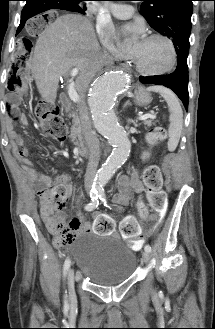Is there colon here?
Listing matches in <instances>:
<instances>
[{
	"label": "colon",
	"instance_id": "obj_1",
	"mask_svg": "<svg viewBox=\"0 0 215 329\" xmlns=\"http://www.w3.org/2000/svg\"><path fill=\"white\" fill-rule=\"evenodd\" d=\"M55 14H34L33 19H29V25H25V32H29V37H19L18 49L14 61H9L11 74L9 79V91L6 103L7 109H22L26 103L27 86L24 82L25 76L21 74L23 68L28 67L27 58L31 53V44H36V38H48V26H52L55 21ZM36 116L43 124V130L57 139H62L65 135L63 121L58 111L47 102H39L35 109ZM165 137L162 129H156L149 133L148 143L151 146L157 145ZM143 181L146 186V196L148 204L152 209V217L162 220L170 217V210L167 206V196L162 190L163 178L160 168L156 165H149L143 171ZM44 201L54 209H62L68 202L66 182L53 178L49 187L44 191ZM97 220L102 219L101 216ZM120 230L125 238L136 239L141 233L139 223L132 218L122 221ZM53 233L57 237V243L62 245L70 239V228L63 224H55L52 227Z\"/></svg>",
	"mask_w": 215,
	"mask_h": 329
}]
</instances>
